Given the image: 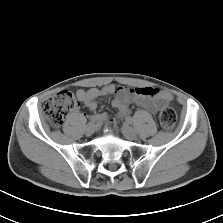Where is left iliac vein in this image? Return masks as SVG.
I'll return each instance as SVG.
<instances>
[{
    "label": "left iliac vein",
    "instance_id": "obj_1",
    "mask_svg": "<svg viewBox=\"0 0 223 223\" xmlns=\"http://www.w3.org/2000/svg\"><path fill=\"white\" fill-rule=\"evenodd\" d=\"M122 134L127 138L128 140H134L137 138V132L136 130L129 126L127 123H124L121 127Z\"/></svg>",
    "mask_w": 223,
    "mask_h": 223
}]
</instances>
